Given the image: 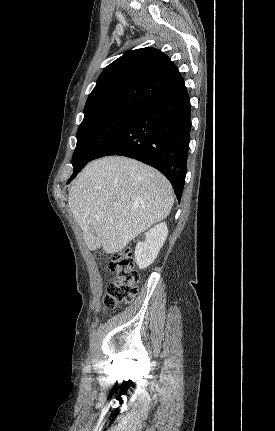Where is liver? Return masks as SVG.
Masks as SVG:
<instances>
[{
    "label": "liver",
    "instance_id": "liver-1",
    "mask_svg": "<svg viewBox=\"0 0 275 431\" xmlns=\"http://www.w3.org/2000/svg\"><path fill=\"white\" fill-rule=\"evenodd\" d=\"M170 182L156 169L122 156L90 162L72 184L68 204L89 250L122 251L173 206Z\"/></svg>",
    "mask_w": 275,
    "mask_h": 431
}]
</instances>
